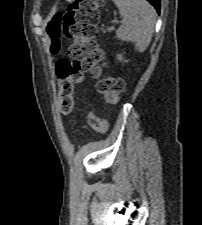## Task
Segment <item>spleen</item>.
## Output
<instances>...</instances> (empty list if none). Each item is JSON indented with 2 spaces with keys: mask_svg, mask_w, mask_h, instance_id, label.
<instances>
[{
  "mask_svg": "<svg viewBox=\"0 0 202 225\" xmlns=\"http://www.w3.org/2000/svg\"><path fill=\"white\" fill-rule=\"evenodd\" d=\"M122 16L116 36L135 44L138 52L149 46L156 23V11L146 0H113Z\"/></svg>",
  "mask_w": 202,
  "mask_h": 225,
  "instance_id": "3e777b00",
  "label": "spleen"
}]
</instances>
